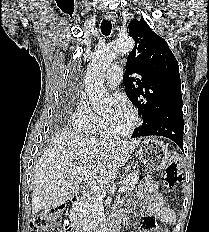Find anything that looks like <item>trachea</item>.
I'll list each match as a JSON object with an SVG mask.
<instances>
[{
	"mask_svg": "<svg viewBox=\"0 0 209 232\" xmlns=\"http://www.w3.org/2000/svg\"><path fill=\"white\" fill-rule=\"evenodd\" d=\"M100 29L104 36H109L112 30L111 20H102Z\"/></svg>",
	"mask_w": 209,
	"mask_h": 232,
	"instance_id": "1",
	"label": "trachea"
}]
</instances>
